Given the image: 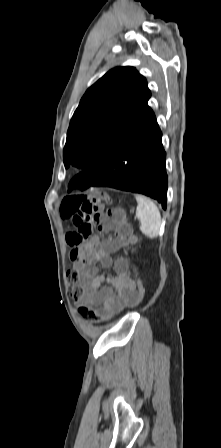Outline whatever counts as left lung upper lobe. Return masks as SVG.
I'll return each instance as SVG.
<instances>
[{
  "instance_id": "obj_1",
  "label": "left lung upper lobe",
  "mask_w": 221,
  "mask_h": 448,
  "mask_svg": "<svg viewBox=\"0 0 221 448\" xmlns=\"http://www.w3.org/2000/svg\"><path fill=\"white\" fill-rule=\"evenodd\" d=\"M146 79L133 67L108 71L82 97L71 119L64 165L95 169L149 117Z\"/></svg>"
}]
</instances>
